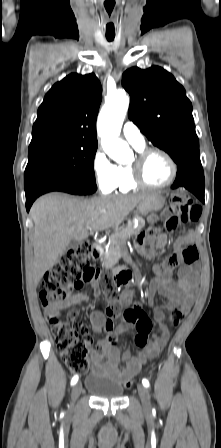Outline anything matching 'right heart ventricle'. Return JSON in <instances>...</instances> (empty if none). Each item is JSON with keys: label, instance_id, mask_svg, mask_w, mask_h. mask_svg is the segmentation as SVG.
Returning <instances> with one entry per match:
<instances>
[{"label": "right heart ventricle", "instance_id": "obj_1", "mask_svg": "<svg viewBox=\"0 0 221 448\" xmlns=\"http://www.w3.org/2000/svg\"><path fill=\"white\" fill-rule=\"evenodd\" d=\"M137 151H141L143 148H135ZM119 167V178L115 189L121 193H127L139 188L132 179L131 168L129 165H121Z\"/></svg>", "mask_w": 221, "mask_h": 448}]
</instances>
